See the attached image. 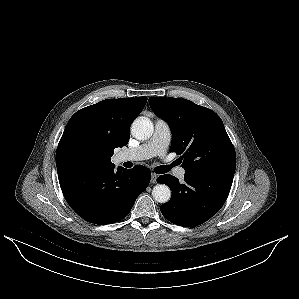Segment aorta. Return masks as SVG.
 <instances>
[{"label":"aorta","instance_id":"obj_1","mask_svg":"<svg viewBox=\"0 0 299 299\" xmlns=\"http://www.w3.org/2000/svg\"><path fill=\"white\" fill-rule=\"evenodd\" d=\"M153 131V123L146 117H138L131 125V133L138 140L149 139ZM152 196L156 202L166 203L171 197L170 188L165 184H157L152 190Z\"/></svg>","mask_w":299,"mask_h":299}]
</instances>
